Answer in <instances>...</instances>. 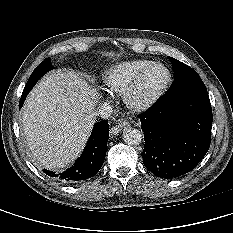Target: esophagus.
I'll list each match as a JSON object with an SVG mask.
<instances>
[{
	"mask_svg": "<svg viewBox=\"0 0 233 233\" xmlns=\"http://www.w3.org/2000/svg\"><path fill=\"white\" fill-rule=\"evenodd\" d=\"M130 125L127 121H120L118 122L112 129L111 132L112 134L116 135L119 133L122 129L128 128Z\"/></svg>",
	"mask_w": 233,
	"mask_h": 233,
	"instance_id": "1",
	"label": "esophagus"
}]
</instances>
